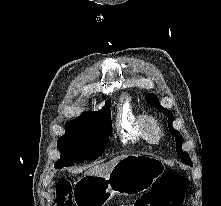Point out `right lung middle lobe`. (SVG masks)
Returning <instances> with one entry per match:
<instances>
[{
    "label": "right lung middle lobe",
    "mask_w": 221,
    "mask_h": 206,
    "mask_svg": "<svg viewBox=\"0 0 221 206\" xmlns=\"http://www.w3.org/2000/svg\"><path fill=\"white\" fill-rule=\"evenodd\" d=\"M111 113H93L79 116L66 123V133L58 140L60 159L55 168L72 166L73 162H81L100 156L111 134Z\"/></svg>",
    "instance_id": "right-lung-middle-lobe-1"
}]
</instances>
